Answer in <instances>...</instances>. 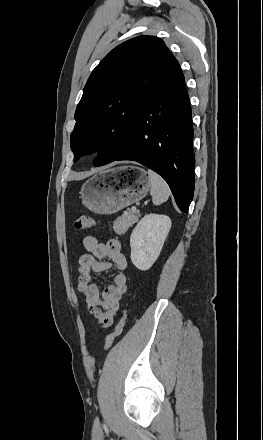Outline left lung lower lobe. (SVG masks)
Masks as SVG:
<instances>
[{
  "label": "left lung lower lobe",
  "mask_w": 263,
  "mask_h": 440,
  "mask_svg": "<svg viewBox=\"0 0 263 440\" xmlns=\"http://www.w3.org/2000/svg\"><path fill=\"white\" fill-rule=\"evenodd\" d=\"M119 160L139 162L161 175L179 209L188 212L194 194L192 114L175 58L137 115L130 143L110 162Z\"/></svg>",
  "instance_id": "left-lung-lower-lobe-1"
}]
</instances>
